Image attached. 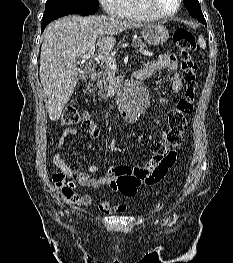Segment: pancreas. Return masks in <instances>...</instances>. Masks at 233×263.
Listing matches in <instances>:
<instances>
[{
	"mask_svg": "<svg viewBox=\"0 0 233 263\" xmlns=\"http://www.w3.org/2000/svg\"><path fill=\"white\" fill-rule=\"evenodd\" d=\"M132 45L136 49H143L146 47L144 42L140 38L134 39ZM115 77V69L111 68L108 64L101 65V70L95 77V89L98 95L103 99H108L116 91L115 87L112 85L111 80Z\"/></svg>",
	"mask_w": 233,
	"mask_h": 263,
	"instance_id": "obj_1",
	"label": "pancreas"
}]
</instances>
